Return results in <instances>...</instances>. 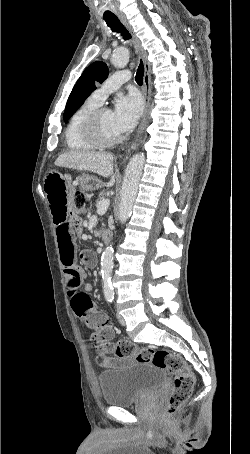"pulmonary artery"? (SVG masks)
Wrapping results in <instances>:
<instances>
[{"label": "pulmonary artery", "instance_id": "pulmonary-artery-1", "mask_svg": "<svg viewBox=\"0 0 250 454\" xmlns=\"http://www.w3.org/2000/svg\"><path fill=\"white\" fill-rule=\"evenodd\" d=\"M130 78L131 74L128 71H119L114 73L90 95L89 99L101 105L111 92L119 89L123 84L129 82Z\"/></svg>", "mask_w": 250, "mask_h": 454}]
</instances>
